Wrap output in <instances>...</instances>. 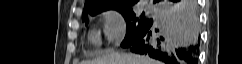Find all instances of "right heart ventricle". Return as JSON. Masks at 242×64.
<instances>
[{
  "label": "right heart ventricle",
  "instance_id": "obj_1",
  "mask_svg": "<svg viewBox=\"0 0 242 64\" xmlns=\"http://www.w3.org/2000/svg\"><path fill=\"white\" fill-rule=\"evenodd\" d=\"M90 41H92L93 43H97L98 41V36L95 32H91L90 36H89Z\"/></svg>",
  "mask_w": 242,
  "mask_h": 64
}]
</instances>
